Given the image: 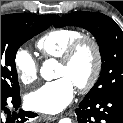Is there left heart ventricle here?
<instances>
[{
    "mask_svg": "<svg viewBox=\"0 0 123 123\" xmlns=\"http://www.w3.org/2000/svg\"><path fill=\"white\" fill-rule=\"evenodd\" d=\"M94 67V54L90 46L85 45L73 62L68 65L58 64L56 77H67L73 85H79L85 82L90 76Z\"/></svg>",
    "mask_w": 123,
    "mask_h": 123,
    "instance_id": "obj_1",
    "label": "left heart ventricle"
}]
</instances>
